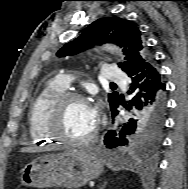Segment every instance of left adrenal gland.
I'll return each mask as SVG.
<instances>
[{
	"mask_svg": "<svg viewBox=\"0 0 188 189\" xmlns=\"http://www.w3.org/2000/svg\"><path fill=\"white\" fill-rule=\"evenodd\" d=\"M106 184H107V182H104V184L101 187H99V189H104Z\"/></svg>",
	"mask_w": 188,
	"mask_h": 189,
	"instance_id": "left-adrenal-gland-1",
	"label": "left adrenal gland"
}]
</instances>
